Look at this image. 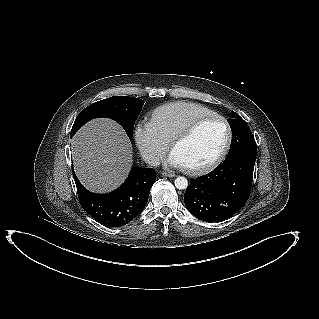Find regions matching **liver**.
I'll return each mask as SVG.
<instances>
[{
  "label": "liver",
  "instance_id": "1",
  "mask_svg": "<svg viewBox=\"0 0 319 319\" xmlns=\"http://www.w3.org/2000/svg\"><path fill=\"white\" fill-rule=\"evenodd\" d=\"M74 171L84 187L96 193L117 188L132 166V145L113 120L89 121L71 140Z\"/></svg>",
  "mask_w": 319,
  "mask_h": 319
}]
</instances>
